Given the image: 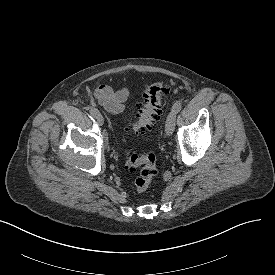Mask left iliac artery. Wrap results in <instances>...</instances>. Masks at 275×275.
<instances>
[{
    "label": "left iliac artery",
    "instance_id": "1",
    "mask_svg": "<svg viewBox=\"0 0 275 275\" xmlns=\"http://www.w3.org/2000/svg\"><path fill=\"white\" fill-rule=\"evenodd\" d=\"M181 109H182V104L180 102H175L172 107V111L177 114L178 112H180Z\"/></svg>",
    "mask_w": 275,
    "mask_h": 275
}]
</instances>
